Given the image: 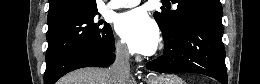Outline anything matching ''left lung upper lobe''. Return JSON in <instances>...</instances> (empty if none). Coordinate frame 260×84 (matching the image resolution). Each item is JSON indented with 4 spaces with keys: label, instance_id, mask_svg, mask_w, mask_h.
I'll list each match as a JSON object with an SVG mask.
<instances>
[{
    "label": "left lung upper lobe",
    "instance_id": "left-lung-upper-lobe-1",
    "mask_svg": "<svg viewBox=\"0 0 260 84\" xmlns=\"http://www.w3.org/2000/svg\"><path fill=\"white\" fill-rule=\"evenodd\" d=\"M177 9L161 8L154 17L162 31L167 36L173 34L180 25L192 16L210 15L222 16V6L219 0H174Z\"/></svg>",
    "mask_w": 260,
    "mask_h": 84
}]
</instances>
